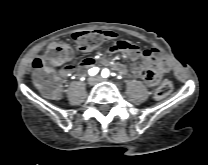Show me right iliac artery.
<instances>
[{"label":"right iliac artery","instance_id":"1","mask_svg":"<svg viewBox=\"0 0 208 165\" xmlns=\"http://www.w3.org/2000/svg\"><path fill=\"white\" fill-rule=\"evenodd\" d=\"M98 71H99V68L94 67V68H91V69L89 70V74H90L91 76H94V75H96V74L98 73Z\"/></svg>","mask_w":208,"mask_h":165}]
</instances>
